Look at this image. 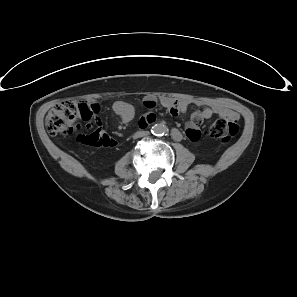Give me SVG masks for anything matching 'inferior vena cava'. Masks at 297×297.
<instances>
[{"label": "inferior vena cava", "mask_w": 297, "mask_h": 297, "mask_svg": "<svg viewBox=\"0 0 297 297\" xmlns=\"http://www.w3.org/2000/svg\"><path fill=\"white\" fill-rule=\"evenodd\" d=\"M148 135V132L147 131H138L134 134V138H140V137H143V136H146Z\"/></svg>", "instance_id": "inferior-vena-cava-1"}]
</instances>
